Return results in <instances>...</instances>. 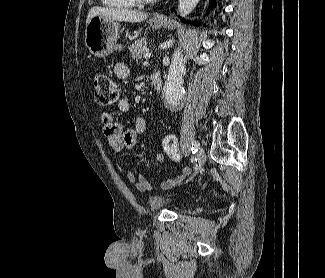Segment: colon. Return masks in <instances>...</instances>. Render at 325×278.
Segmentation results:
<instances>
[{
  "label": "colon",
  "instance_id": "5ec220e1",
  "mask_svg": "<svg viewBox=\"0 0 325 278\" xmlns=\"http://www.w3.org/2000/svg\"><path fill=\"white\" fill-rule=\"evenodd\" d=\"M95 101L101 106H110L119 99V90L115 82L105 74L95 77L93 86ZM162 148L167 156L174 162H179L181 157L175 136L167 135L162 139Z\"/></svg>",
  "mask_w": 325,
  "mask_h": 278
}]
</instances>
